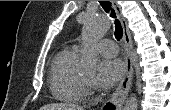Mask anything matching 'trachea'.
<instances>
[{"mask_svg": "<svg viewBox=\"0 0 171 110\" xmlns=\"http://www.w3.org/2000/svg\"><path fill=\"white\" fill-rule=\"evenodd\" d=\"M102 8L105 10V12L109 13L112 18L115 19V38L119 41L123 36V29L121 26L120 21L116 18V13L114 9H112L111 2L109 1H99Z\"/></svg>", "mask_w": 171, "mask_h": 110, "instance_id": "1", "label": "trachea"}]
</instances>
